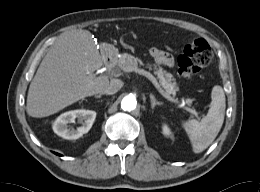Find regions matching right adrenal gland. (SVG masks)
Masks as SVG:
<instances>
[{
    "instance_id": "right-adrenal-gland-1",
    "label": "right adrenal gland",
    "mask_w": 260,
    "mask_h": 192,
    "mask_svg": "<svg viewBox=\"0 0 260 192\" xmlns=\"http://www.w3.org/2000/svg\"><path fill=\"white\" fill-rule=\"evenodd\" d=\"M101 94H99V95H95V98H101Z\"/></svg>"
}]
</instances>
